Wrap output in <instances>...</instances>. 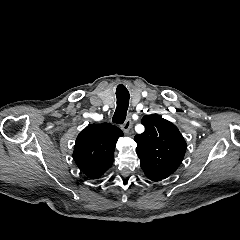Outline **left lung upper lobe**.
Wrapping results in <instances>:
<instances>
[{
  "label": "left lung upper lobe",
  "instance_id": "1",
  "mask_svg": "<svg viewBox=\"0 0 240 240\" xmlns=\"http://www.w3.org/2000/svg\"><path fill=\"white\" fill-rule=\"evenodd\" d=\"M141 123L145 131L134 138L141 167L144 172L166 179L181 164L186 142L178 128L158 114L145 115Z\"/></svg>",
  "mask_w": 240,
  "mask_h": 240
}]
</instances>
